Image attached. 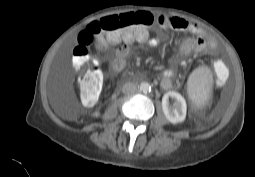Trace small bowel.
<instances>
[{"label":"small bowel","mask_w":255,"mask_h":177,"mask_svg":"<svg viewBox=\"0 0 255 177\" xmlns=\"http://www.w3.org/2000/svg\"><path fill=\"white\" fill-rule=\"evenodd\" d=\"M159 19L163 27H170L176 31L187 32L196 36L195 38L186 39L180 44L179 50L182 54H201L204 52H209L211 54L216 53V42L195 22L181 17L167 15H162ZM136 41L139 43H146L151 48H155L160 44V38L158 36H150L147 31ZM101 47L102 52H104L106 50V46L101 45ZM128 54V43H124L116 48L114 57L111 61V70L113 72H121L126 67ZM215 69L222 70V67L220 65H216ZM173 74L174 72L172 70H168L163 73L161 87L164 90H169L172 87L171 78Z\"/></svg>","instance_id":"obj_1"}]
</instances>
